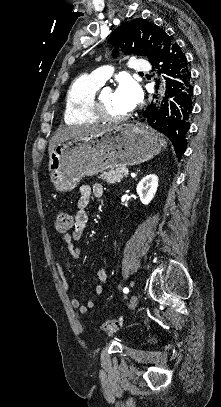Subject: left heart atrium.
<instances>
[{
  "label": "left heart atrium",
  "mask_w": 221,
  "mask_h": 407,
  "mask_svg": "<svg viewBox=\"0 0 221 407\" xmlns=\"http://www.w3.org/2000/svg\"><path fill=\"white\" fill-rule=\"evenodd\" d=\"M115 92L128 110L134 109L142 100L139 85L130 77L120 78Z\"/></svg>",
  "instance_id": "39dd6f15"
}]
</instances>
